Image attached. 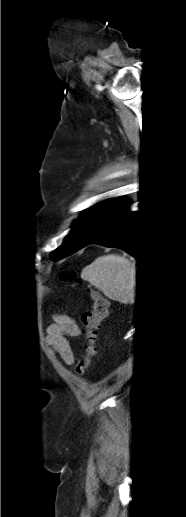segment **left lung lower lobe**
I'll use <instances>...</instances> for the list:
<instances>
[{
  "mask_svg": "<svg viewBox=\"0 0 186 517\" xmlns=\"http://www.w3.org/2000/svg\"><path fill=\"white\" fill-rule=\"evenodd\" d=\"M128 206V201L120 198L95 224L90 239L83 247L92 243L117 247L141 260V251L135 238L134 213L128 212Z\"/></svg>",
  "mask_w": 186,
  "mask_h": 517,
  "instance_id": "obj_1",
  "label": "left lung lower lobe"
}]
</instances>
